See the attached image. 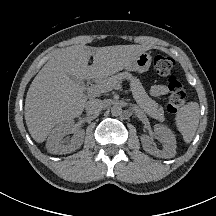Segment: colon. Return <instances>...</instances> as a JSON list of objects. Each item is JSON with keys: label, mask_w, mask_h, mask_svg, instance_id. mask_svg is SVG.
Segmentation results:
<instances>
[{"label": "colon", "mask_w": 216, "mask_h": 216, "mask_svg": "<svg viewBox=\"0 0 216 216\" xmlns=\"http://www.w3.org/2000/svg\"><path fill=\"white\" fill-rule=\"evenodd\" d=\"M174 67V60L165 55H157L154 57V68L156 72L168 78L169 99L167 103V111L170 114L177 113L186 102L185 86L173 75L171 71Z\"/></svg>", "instance_id": "obj_1"}]
</instances>
